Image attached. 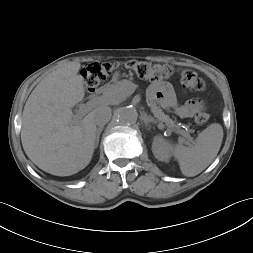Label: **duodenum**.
Instances as JSON below:
<instances>
[{"mask_svg": "<svg viewBox=\"0 0 253 253\" xmlns=\"http://www.w3.org/2000/svg\"><path fill=\"white\" fill-rule=\"evenodd\" d=\"M103 91H104V88H100L99 91H98V94L103 93Z\"/></svg>", "mask_w": 253, "mask_h": 253, "instance_id": "duodenum-1", "label": "duodenum"}]
</instances>
